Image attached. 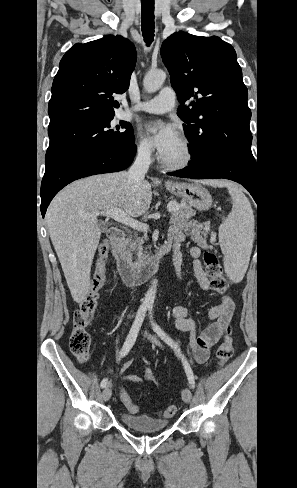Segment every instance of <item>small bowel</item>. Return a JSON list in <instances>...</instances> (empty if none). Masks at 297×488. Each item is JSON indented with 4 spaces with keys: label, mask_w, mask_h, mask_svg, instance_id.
Returning <instances> with one entry per match:
<instances>
[{
    "label": "small bowel",
    "mask_w": 297,
    "mask_h": 488,
    "mask_svg": "<svg viewBox=\"0 0 297 488\" xmlns=\"http://www.w3.org/2000/svg\"><path fill=\"white\" fill-rule=\"evenodd\" d=\"M186 241V236L183 231L178 227H171L165 244L170 246L172 251V260L176 274L179 279L183 278V257L181 253V245ZM189 255L193 260L194 276L198 282L199 287L203 291L211 289L210 280L205 274L202 264L200 262L201 248L193 246L189 250ZM234 310V303L229 295L223 294L220 297L219 303L213 306L208 312V319L210 323L198 333V323L191 317V310L187 306H176L172 310V318L174 325L177 329L188 332L190 335V349L194 355L195 360L198 363H204L207 361L210 355L211 348L220 340L221 334L225 326L230 322L232 313ZM136 359L131 360L125 365L119 373L115 374L113 370L108 369L107 373L114 377L119 378L122 381L133 382L136 384H142L143 379L157 386V381L153 373L149 370L148 366L151 365V361L147 357H141L140 365L142 377L137 375H125L124 370L131 364L137 363ZM119 389H126L125 386H121Z\"/></svg>",
    "instance_id": "c3829d8e"
}]
</instances>
